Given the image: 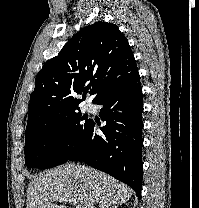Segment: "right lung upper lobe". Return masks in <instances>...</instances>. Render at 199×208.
I'll return each mask as SVG.
<instances>
[{"label":"right lung upper lobe","mask_w":199,"mask_h":208,"mask_svg":"<svg viewBox=\"0 0 199 208\" xmlns=\"http://www.w3.org/2000/svg\"><path fill=\"white\" fill-rule=\"evenodd\" d=\"M137 74L131 47L116 25L99 21L84 27L37 74L25 134L78 110L87 92L94 103Z\"/></svg>","instance_id":"obj_1"}]
</instances>
